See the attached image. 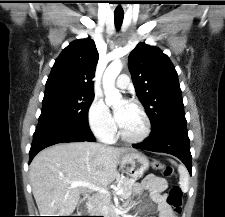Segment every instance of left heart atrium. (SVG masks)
Masks as SVG:
<instances>
[{
	"mask_svg": "<svg viewBox=\"0 0 225 217\" xmlns=\"http://www.w3.org/2000/svg\"><path fill=\"white\" fill-rule=\"evenodd\" d=\"M128 104L129 103L126 100H123L120 107L117 108L116 111H115V119H116L117 123L119 124V126L124 121Z\"/></svg>",
	"mask_w": 225,
	"mask_h": 217,
	"instance_id": "1",
	"label": "left heart atrium"
}]
</instances>
